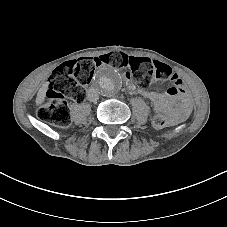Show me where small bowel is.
<instances>
[{"label": "small bowel", "mask_w": 227, "mask_h": 227, "mask_svg": "<svg viewBox=\"0 0 227 227\" xmlns=\"http://www.w3.org/2000/svg\"><path fill=\"white\" fill-rule=\"evenodd\" d=\"M141 93L154 104L156 113H172L180 120L185 118L189 113V104L185 99L179 102L178 108H173L166 95L153 90L142 89Z\"/></svg>", "instance_id": "1"}]
</instances>
